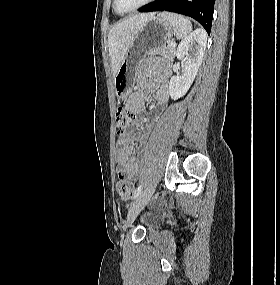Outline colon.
<instances>
[{
  "label": "colon",
  "mask_w": 280,
  "mask_h": 285,
  "mask_svg": "<svg viewBox=\"0 0 280 285\" xmlns=\"http://www.w3.org/2000/svg\"><path fill=\"white\" fill-rule=\"evenodd\" d=\"M134 122V114L132 111L126 109L125 107H118L115 113V129L118 134L123 133L127 130ZM133 183L122 178L117 183V192L120 198L127 200L133 194Z\"/></svg>",
  "instance_id": "obj_1"
}]
</instances>
